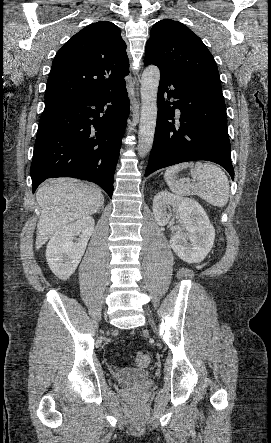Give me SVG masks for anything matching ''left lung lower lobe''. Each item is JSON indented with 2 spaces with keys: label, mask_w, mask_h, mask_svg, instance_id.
<instances>
[{
  "label": "left lung lower lobe",
  "mask_w": 271,
  "mask_h": 443,
  "mask_svg": "<svg viewBox=\"0 0 271 443\" xmlns=\"http://www.w3.org/2000/svg\"><path fill=\"white\" fill-rule=\"evenodd\" d=\"M144 63L156 65L161 73L154 144L145 176L181 162L206 160L224 167L233 180L220 80L171 69L150 59Z\"/></svg>",
  "instance_id": "1"
}]
</instances>
